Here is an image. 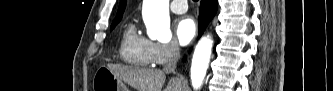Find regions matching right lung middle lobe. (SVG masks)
<instances>
[{
	"mask_svg": "<svg viewBox=\"0 0 333 91\" xmlns=\"http://www.w3.org/2000/svg\"><path fill=\"white\" fill-rule=\"evenodd\" d=\"M121 18L114 19L111 25V30L115 28V26L120 22Z\"/></svg>",
	"mask_w": 333,
	"mask_h": 91,
	"instance_id": "dd1d6c3e",
	"label": "right lung middle lobe"
}]
</instances>
